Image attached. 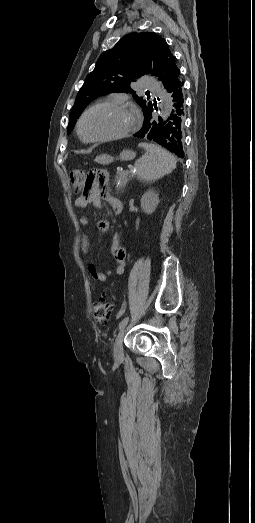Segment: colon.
<instances>
[{"label": "colon", "mask_w": 255, "mask_h": 523, "mask_svg": "<svg viewBox=\"0 0 255 523\" xmlns=\"http://www.w3.org/2000/svg\"><path fill=\"white\" fill-rule=\"evenodd\" d=\"M70 180L75 193L86 192L89 187V181L86 179L84 172L80 169L70 171ZM113 305L106 298H102L93 305L92 314L100 324L107 325L112 318Z\"/></svg>", "instance_id": "colon-1"}]
</instances>
